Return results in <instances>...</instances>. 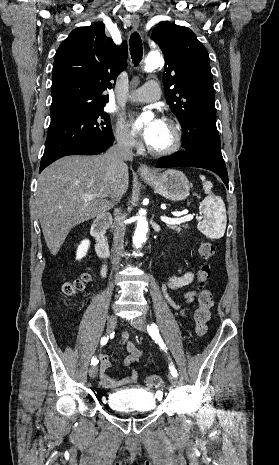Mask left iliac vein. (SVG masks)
<instances>
[{"instance_id": "left-iliac-vein-1", "label": "left iliac vein", "mask_w": 279, "mask_h": 465, "mask_svg": "<svg viewBox=\"0 0 279 465\" xmlns=\"http://www.w3.org/2000/svg\"><path fill=\"white\" fill-rule=\"evenodd\" d=\"M130 324H131L134 328H136V329H138V330H140V331H143V332L146 331V328H147L146 322H145L142 318H140V317L131 320V321H130ZM169 381H170V383H171V385H172L173 387H176V386H177L178 380H177V377H176V376H173L172 374H170V375H169Z\"/></svg>"}]
</instances>
